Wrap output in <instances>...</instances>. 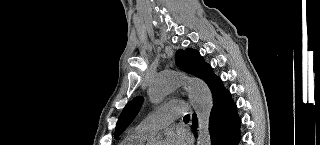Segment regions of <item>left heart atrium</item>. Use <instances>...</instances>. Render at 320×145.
I'll use <instances>...</instances> for the list:
<instances>
[{
    "label": "left heart atrium",
    "instance_id": "obj_1",
    "mask_svg": "<svg viewBox=\"0 0 320 145\" xmlns=\"http://www.w3.org/2000/svg\"><path fill=\"white\" fill-rule=\"evenodd\" d=\"M170 81V79H168ZM190 138L184 131H176L169 135L168 143L169 145H188Z\"/></svg>",
    "mask_w": 320,
    "mask_h": 145
}]
</instances>
